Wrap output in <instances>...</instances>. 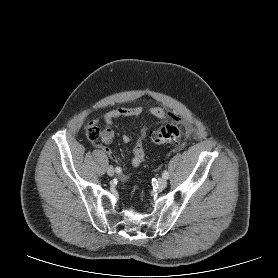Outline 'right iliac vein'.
<instances>
[{
  "mask_svg": "<svg viewBox=\"0 0 278 278\" xmlns=\"http://www.w3.org/2000/svg\"><path fill=\"white\" fill-rule=\"evenodd\" d=\"M114 173H115L114 168H113L112 166H109V167L107 168V174H108L109 176H113Z\"/></svg>",
  "mask_w": 278,
  "mask_h": 278,
  "instance_id": "63e3f726",
  "label": "right iliac vein"
}]
</instances>
